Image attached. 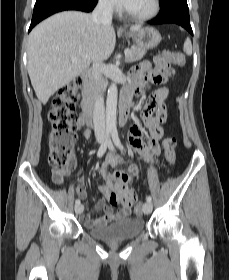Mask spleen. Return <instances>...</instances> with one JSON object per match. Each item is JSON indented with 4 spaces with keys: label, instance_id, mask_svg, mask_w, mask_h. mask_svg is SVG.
Wrapping results in <instances>:
<instances>
[{
    "label": "spleen",
    "instance_id": "3e777b00",
    "mask_svg": "<svg viewBox=\"0 0 229 280\" xmlns=\"http://www.w3.org/2000/svg\"><path fill=\"white\" fill-rule=\"evenodd\" d=\"M184 52L187 55H191L192 54V44L189 38H187L184 42V46H183Z\"/></svg>",
    "mask_w": 229,
    "mask_h": 280
}]
</instances>
